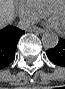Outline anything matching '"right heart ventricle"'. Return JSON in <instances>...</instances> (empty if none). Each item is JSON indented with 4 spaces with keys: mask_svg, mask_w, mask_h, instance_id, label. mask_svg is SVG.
<instances>
[{
    "mask_svg": "<svg viewBox=\"0 0 65 89\" xmlns=\"http://www.w3.org/2000/svg\"><path fill=\"white\" fill-rule=\"evenodd\" d=\"M38 5H40L41 7L45 8L47 7V5L50 2L56 1V0H34Z\"/></svg>",
    "mask_w": 65,
    "mask_h": 89,
    "instance_id": "right-heart-ventricle-1",
    "label": "right heart ventricle"
}]
</instances>
